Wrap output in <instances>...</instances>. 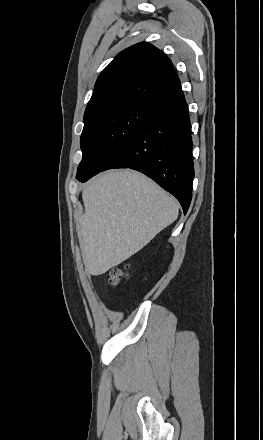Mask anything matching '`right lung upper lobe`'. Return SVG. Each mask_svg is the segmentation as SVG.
<instances>
[{
  "label": "right lung upper lobe",
  "mask_w": 263,
  "mask_h": 440,
  "mask_svg": "<svg viewBox=\"0 0 263 440\" xmlns=\"http://www.w3.org/2000/svg\"><path fill=\"white\" fill-rule=\"evenodd\" d=\"M181 88L171 60L142 42L120 52L99 75L84 120L113 107L155 105Z\"/></svg>",
  "instance_id": "obj_1"
}]
</instances>
